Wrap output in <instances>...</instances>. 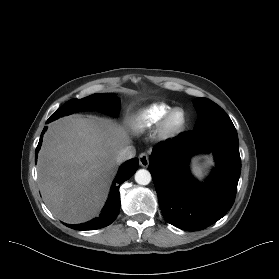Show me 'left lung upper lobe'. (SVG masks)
I'll list each match as a JSON object with an SVG mask.
<instances>
[{
	"instance_id": "left-lung-upper-lobe-1",
	"label": "left lung upper lobe",
	"mask_w": 279,
	"mask_h": 279,
	"mask_svg": "<svg viewBox=\"0 0 279 279\" xmlns=\"http://www.w3.org/2000/svg\"><path fill=\"white\" fill-rule=\"evenodd\" d=\"M193 102L198 113L194 129L217 124H233L226 112L211 100L198 97Z\"/></svg>"
}]
</instances>
